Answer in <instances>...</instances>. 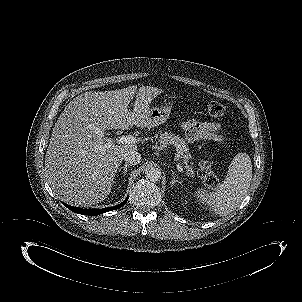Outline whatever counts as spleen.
Here are the masks:
<instances>
[{
	"instance_id": "spleen-1",
	"label": "spleen",
	"mask_w": 302,
	"mask_h": 302,
	"mask_svg": "<svg viewBox=\"0 0 302 302\" xmlns=\"http://www.w3.org/2000/svg\"><path fill=\"white\" fill-rule=\"evenodd\" d=\"M251 178V159L247 154L239 153L233 159L223 183L212 192L199 188L194 192V197L206 204L214 214L228 215L244 198Z\"/></svg>"
}]
</instances>
